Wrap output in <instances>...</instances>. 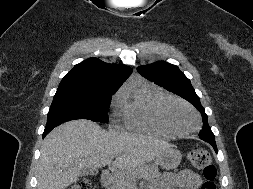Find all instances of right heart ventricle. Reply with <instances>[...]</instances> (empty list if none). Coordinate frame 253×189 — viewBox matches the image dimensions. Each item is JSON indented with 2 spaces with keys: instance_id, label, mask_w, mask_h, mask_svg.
I'll return each mask as SVG.
<instances>
[{
  "instance_id": "obj_1",
  "label": "right heart ventricle",
  "mask_w": 253,
  "mask_h": 189,
  "mask_svg": "<svg viewBox=\"0 0 253 189\" xmlns=\"http://www.w3.org/2000/svg\"><path fill=\"white\" fill-rule=\"evenodd\" d=\"M165 96L161 90L139 84L122 91L123 118L127 129L170 137L173 134L160 126L154 116L156 104Z\"/></svg>"
}]
</instances>
